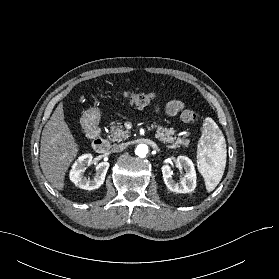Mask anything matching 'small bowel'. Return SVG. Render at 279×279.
Returning a JSON list of instances; mask_svg holds the SVG:
<instances>
[{
	"instance_id": "obj_1",
	"label": "small bowel",
	"mask_w": 279,
	"mask_h": 279,
	"mask_svg": "<svg viewBox=\"0 0 279 279\" xmlns=\"http://www.w3.org/2000/svg\"><path fill=\"white\" fill-rule=\"evenodd\" d=\"M184 108V103L180 100H171L165 107V112L169 116L177 115ZM159 108L157 107V110Z\"/></svg>"
}]
</instances>
